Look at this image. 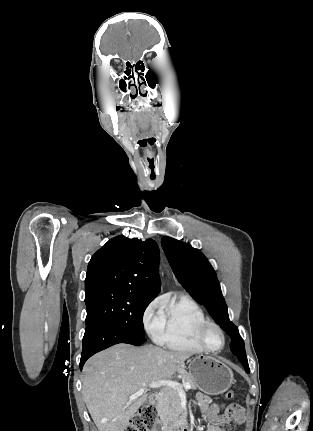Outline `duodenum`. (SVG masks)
<instances>
[{
  "mask_svg": "<svg viewBox=\"0 0 313 431\" xmlns=\"http://www.w3.org/2000/svg\"><path fill=\"white\" fill-rule=\"evenodd\" d=\"M158 402V395L152 394L149 398V403L155 406ZM164 431H189V425L186 421H180L175 424H163Z\"/></svg>",
  "mask_w": 313,
  "mask_h": 431,
  "instance_id": "obj_1",
  "label": "duodenum"
}]
</instances>
